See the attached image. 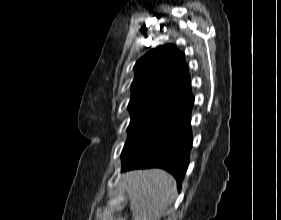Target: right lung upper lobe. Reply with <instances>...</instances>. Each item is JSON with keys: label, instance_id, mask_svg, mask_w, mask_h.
I'll return each instance as SVG.
<instances>
[{"label": "right lung upper lobe", "instance_id": "obj_1", "mask_svg": "<svg viewBox=\"0 0 281 220\" xmlns=\"http://www.w3.org/2000/svg\"><path fill=\"white\" fill-rule=\"evenodd\" d=\"M128 105L131 118L172 119L194 102L184 54L176 46H159L134 66Z\"/></svg>", "mask_w": 281, "mask_h": 220}]
</instances>
